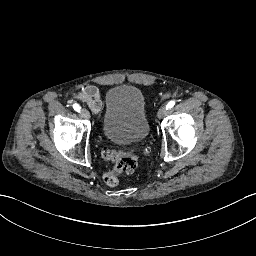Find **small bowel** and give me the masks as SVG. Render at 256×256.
Listing matches in <instances>:
<instances>
[{
	"label": "small bowel",
	"instance_id": "c3829d8e",
	"mask_svg": "<svg viewBox=\"0 0 256 256\" xmlns=\"http://www.w3.org/2000/svg\"><path fill=\"white\" fill-rule=\"evenodd\" d=\"M75 97L84 101L95 113H100L103 109L100 91L93 85L83 87Z\"/></svg>",
	"mask_w": 256,
	"mask_h": 256
}]
</instances>
